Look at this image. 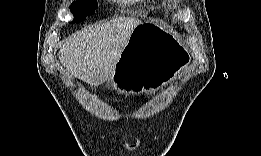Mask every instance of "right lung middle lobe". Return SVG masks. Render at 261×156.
Here are the masks:
<instances>
[{
    "mask_svg": "<svg viewBox=\"0 0 261 156\" xmlns=\"http://www.w3.org/2000/svg\"><path fill=\"white\" fill-rule=\"evenodd\" d=\"M98 5L95 3V0H77L74 1L70 10L74 15V22H80L86 19L87 16L94 14V11Z\"/></svg>",
    "mask_w": 261,
    "mask_h": 156,
    "instance_id": "dd1d6c3e",
    "label": "right lung middle lobe"
}]
</instances>
